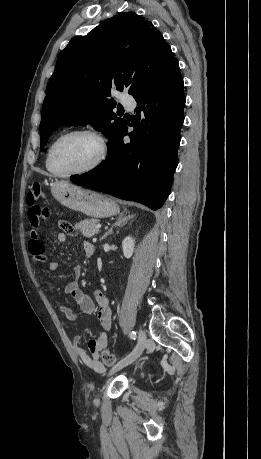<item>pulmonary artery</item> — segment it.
Masks as SVG:
<instances>
[{
    "label": "pulmonary artery",
    "mask_w": 261,
    "mask_h": 459,
    "mask_svg": "<svg viewBox=\"0 0 261 459\" xmlns=\"http://www.w3.org/2000/svg\"><path fill=\"white\" fill-rule=\"evenodd\" d=\"M122 104L125 106L127 109H133L136 105L135 100L130 98V97H124L122 98Z\"/></svg>",
    "instance_id": "obj_1"
}]
</instances>
